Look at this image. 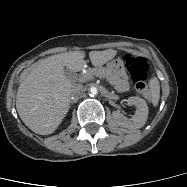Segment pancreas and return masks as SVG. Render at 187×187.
Here are the masks:
<instances>
[{"label": "pancreas", "mask_w": 187, "mask_h": 187, "mask_svg": "<svg viewBox=\"0 0 187 187\" xmlns=\"http://www.w3.org/2000/svg\"><path fill=\"white\" fill-rule=\"evenodd\" d=\"M94 76L105 78L106 80H108L114 86V88L118 92H122V91H125L127 89L128 85L123 84V82H122L123 80L116 79L105 68H95V69L89 70L88 74L83 75V81H88V80L92 79Z\"/></svg>", "instance_id": "1"}]
</instances>
